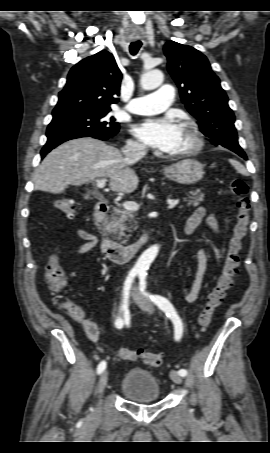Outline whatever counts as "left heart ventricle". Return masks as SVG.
<instances>
[{"mask_svg": "<svg viewBox=\"0 0 270 453\" xmlns=\"http://www.w3.org/2000/svg\"><path fill=\"white\" fill-rule=\"evenodd\" d=\"M192 144V138L187 128L178 125V134L177 137L167 153H176L182 150L189 148Z\"/></svg>", "mask_w": 270, "mask_h": 453, "instance_id": "b2bd125f", "label": "left heart ventricle"}]
</instances>
